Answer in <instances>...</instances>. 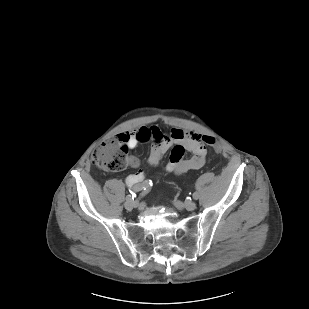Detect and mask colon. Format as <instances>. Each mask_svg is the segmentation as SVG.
Listing matches in <instances>:
<instances>
[{
	"mask_svg": "<svg viewBox=\"0 0 309 309\" xmlns=\"http://www.w3.org/2000/svg\"><path fill=\"white\" fill-rule=\"evenodd\" d=\"M203 143L220 151L216 140L211 136H203ZM128 146L122 137H115L104 141L92 154V164L108 172H118L127 166Z\"/></svg>",
	"mask_w": 309,
	"mask_h": 309,
	"instance_id": "1",
	"label": "colon"
}]
</instances>
